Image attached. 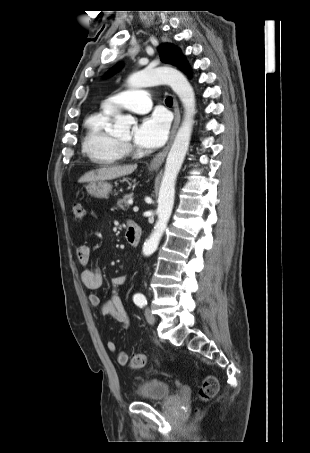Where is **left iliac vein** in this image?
Listing matches in <instances>:
<instances>
[{
    "label": "left iliac vein",
    "instance_id": "4c4485c4",
    "mask_svg": "<svg viewBox=\"0 0 310 453\" xmlns=\"http://www.w3.org/2000/svg\"><path fill=\"white\" fill-rule=\"evenodd\" d=\"M145 317H146V320L149 324H154L155 323V317L154 315L152 314L151 310L149 308H146L145 310Z\"/></svg>",
    "mask_w": 310,
    "mask_h": 453
}]
</instances>
